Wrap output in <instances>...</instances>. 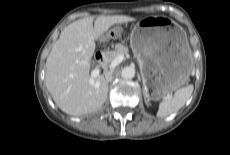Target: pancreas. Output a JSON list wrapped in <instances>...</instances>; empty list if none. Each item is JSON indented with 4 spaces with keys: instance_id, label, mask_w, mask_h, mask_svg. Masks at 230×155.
<instances>
[{
    "instance_id": "1",
    "label": "pancreas",
    "mask_w": 230,
    "mask_h": 155,
    "mask_svg": "<svg viewBox=\"0 0 230 155\" xmlns=\"http://www.w3.org/2000/svg\"><path fill=\"white\" fill-rule=\"evenodd\" d=\"M127 53H128V48L123 44L118 43L115 45V49L113 51H106L104 53V60L105 62L109 63L118 55L120 54L127 55Z\"/></svg>"
}]
</instances>
